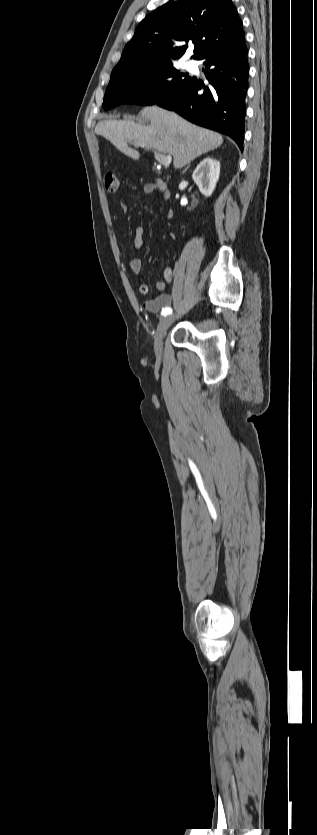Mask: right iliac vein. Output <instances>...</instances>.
Segmentation results:
<instances>
[{
  "instance_id": "63e3f726",
  "label": "right iliac vein",
  "mask_w": 317,
  "mask_h": 835,
  "mask_svg": "<svg viewBox=\"0 0 317 835\" xmlns=\"http://www.w3.org/2000/svg\"><path fill=\"white\" fill-rule=\"evenodd\" d=\"M175 315H168L161 319L156 333V340H155V348L158 353L162 350L163 344V337L166 334L167 329L171 326L173 321L175 320Z\"/></svg>"
}]
</instances>
